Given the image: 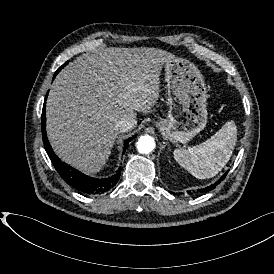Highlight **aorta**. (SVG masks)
<instances>
[{
  "label": "aorta",
  "mask_w": 274,
  "mask_h": 274,
  "mask_svg": "<svg viewBox=\"0 0 274 274\" xmlns=\"http://www.w3.org/2000/svg\"><path fill=\"white\" fill-rule=\"evenodd\" d=\"M155 148L154 138L149 135L141 136L137 141V149L141 154H148Z\"/></svg>",
  "instance_id": "762f6f07"
}]
</instances>
